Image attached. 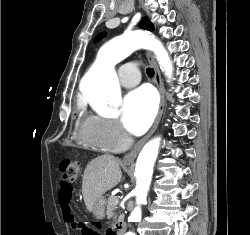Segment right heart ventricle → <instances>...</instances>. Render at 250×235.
<instances>
[{"instance_id": "1", "label": "right heart ventricle", "mask_w": 250, "mask_h": 235, "mask_svg": "<svg viewBox=\"0 0 250 235\" xmlns=\"http://www.w3.org/2000/svg\"><path fill=\"white\" fill-rule=\"evenodd\" d=\"M92 119L93 116L88 115L84 110V105L79 104L78 115V138L79 141L87 147H90L99 151H111L103 147L93 136L92 131Z\"/></svg>"}]
</instances>
